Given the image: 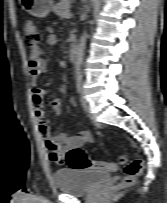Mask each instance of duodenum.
<instances>
[{"mask_svg": "<svg viewBox=\"0 0 167 203\" xmlns=\"http://www.w3.org/2000/svg\"><path fill=\"white\" fill-rule=\"evenodd\" d=\"M76 52H77V46H76V43L73 42L69 48V51H68V59L70 61H74L75 58H76Z\"/></svg>", "mask_w": 167, "mask_h": 203, "instance_id": "obj_1", "label": "duodenum"}]
</instances>
